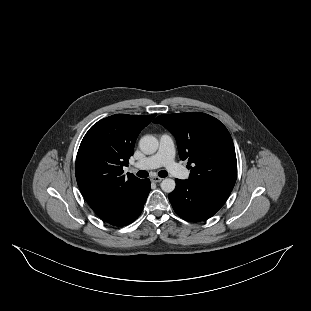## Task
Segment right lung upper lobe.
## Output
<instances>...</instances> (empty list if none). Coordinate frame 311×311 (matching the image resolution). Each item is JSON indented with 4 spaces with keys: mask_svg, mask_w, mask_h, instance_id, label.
<instances>
[{
    "mask_svg": "<svg viewBox=\"0 0 311 311\" xmlns=\"http://www.w3.org/2000/svg\"><path fill=\"white\" fill-rule=\"evenodd\" d=\"M153 115L116 114L95 123L84 136L76 157L75 174L85 200L99 215L121 202L140 183L123 166L133 155L135 141Z\"/></svg>",
    "mask_w": 311,
    "mask_h": 311,
    "instance_id": "obj_1",
    "label": "right lung upper lobe"
}]
</instances>
